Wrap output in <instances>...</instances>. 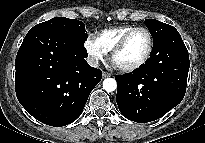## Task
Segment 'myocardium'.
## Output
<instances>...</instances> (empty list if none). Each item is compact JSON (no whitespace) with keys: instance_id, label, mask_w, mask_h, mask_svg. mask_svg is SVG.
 <instances>
[{"instance_id":"myocardium-1","label":"myocardium","mask_w":205,"mask_h":143,"mask_svg":"<svg viewBox=\"0 0 205 143\" xmlns=\"http://www.w3.org/2000/svg\"><path fill=\"white\" fill-rule=\"evenodd\" d=\"M139 30L144 31L147 34V36H148V48H147V51H146L145 55L143 56V58L139 62H137L134 65L125 66V67L117 66L114 63V59H115L116 55L123 50V48L125 47L128 39L130 38V36L134 32L139 31ZM152 51H153V36H152V33L146 27L137 26V27H133L132 29L127 31L121 37V39L117 42V44L114 46V48L111 51L110 60H111V63L114 65V67L116 69H118L119 71L125 72V73L133 72V71H136V70L142 68L147 63V61L149 60V58H150V56L152 54Z\"/></svg>"}]
</instances>
